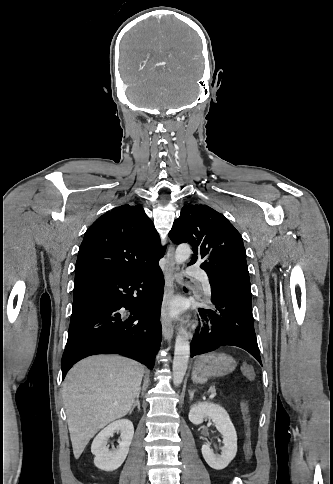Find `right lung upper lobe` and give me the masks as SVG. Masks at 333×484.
I'll return each mask as SVG.
<instances>
[{"label":"right lung upper lobe","instance_id":"cb5924a9","mask_svg":"<svg viewBox=\"0 0 333 484\" xmlns=\"http://www.w3.org/2000/svg\"><path fill=\"white\" fill-rule=\"evenodd\" d=\"M164 250L142 207L121 205L100 216L85 233L75 265V281L139 274L157 264Z\"/></svg>","mask_w":333,"mask_h":484}]
</instances>
